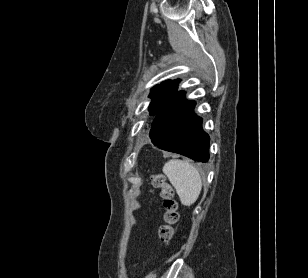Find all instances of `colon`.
Returning <instances> with one entry per match:
<instances>
[{
  "label": "colon",
  "instance_id": "5ec220e1",
  "mask_svg": "<svg viewBox=\"0 0 308 278\" xmlns=\"http://www.w3.org/2000/svg\"><path fill=\"white\" fill-rule=\"evenodd\" d=\"M151 183L154 187L160 189V195L163 199L165 208L164 223L159 228L160 239L168 243L175 231V225L180 220L179 204L175 200L173 188L167 183L165 177L161 174H154L151 177Z\"/></svg>",
  "mask_w": 308,
  "mask_h": 278
}]
</instances>
